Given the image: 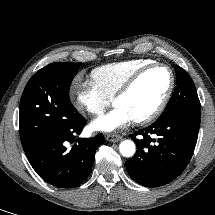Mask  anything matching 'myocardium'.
Segmentation results:
<instances>
[{
    "label": "myocardium",
    "instance_id": "1",
    "mask_svg": "<svg viewBox=\"0 0 215 215\" xmlns=\"http://www.w3.org/2000/svg\"><path fill=\"white\" fill-rule=\"evenodd\" d=\"M165 68L168 70L169 74H170V83L168 86V89L165 93V95L163 96L162 100L160 101V103L157 105V107L150 112L148 115L141 117V118H137L134 121L138 124H149L151 122H153L154 120H156L165 110L167 104L169 103V100L173 94L174 88H175V74L173 69L164 63H157L154 62L142 69H140L139 71H137L136 73H134L124 84L123 86L117 91V93L114 96V102L116 100H118L120 97L128 94L133 87L137 84V82L149 71L155 69V68Z\"/></svg>",
    "mask_w": 215,
    "mask_h": 215
}]
</instances>
